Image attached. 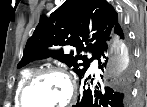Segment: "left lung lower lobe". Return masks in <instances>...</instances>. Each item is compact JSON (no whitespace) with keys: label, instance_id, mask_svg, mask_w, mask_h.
<instances>
[{"label":"left lung lower lobe","instance_id":"0a47b994","mask_svg":"<svg viewBox=\"0 0 147 107\" xmlns=\"http://www.w3.org/2000/svg\"><path fill=\"white\" fill-rule=\"evenodd\" d=\"M113 31L114 33L119 35L120 38L124 39V34L119 24L115 25ZM107 48L108 45L106 43L94 58V59H98L99 69L101 70H103V68L106 67L107 58L105 56V53L107 52ZM101 57L103 58L102 61H101ZM85 73L80 77L81 80L84 79ZM88 79H90V76L85 80H83L82 93L78 97L77 104L74 105L73 107H127L128 106L130 100L131 73H129L128 76L125 77L124 80H122V82L117 87L114 88H110V87L101 88L96 85L95 89H91L90 87H87Z\"/></svg>","mask_w":147,"mask_h":107}]
</instances>
